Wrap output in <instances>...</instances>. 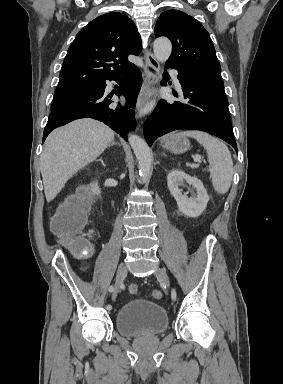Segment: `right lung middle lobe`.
<instances>
[{
    "mask_svg": "<svg viewBox=\"0 0 283 384\" xmlns=\"http://www.w3.org/2000/svg\"><path fill=\"white\" fill-rule=\"evenodd\" d=\"M92 92L91 87L56 90L54 93L51 110L59 109L74 103Z\"/></svg>",
    "mask_w": 283,
    "mask_h": 384,
    "instance_id": "obj_1",
    "label": "right lung middle lobe"
}]
</instances>
